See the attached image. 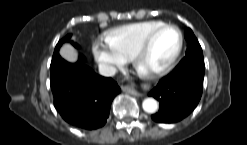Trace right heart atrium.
<instances>
[{
  "label": "right heart atrium",
  "mask_w": 247,
  "mask_h": 145,
  "mask_svg": "<svg viewBox=\"0 0 247 145\" xmlns=\"http://www.w3.org/2000/svg\"><path fill=\"white\" fill-rule=\"evenodd\" d=\"M92 55L100 66L110 71L122 67L126 62V59L107 41H94L92 44Z\"/></svg>",
  "instance_id": "right-heart-atrium-1"
}]
</instances>
